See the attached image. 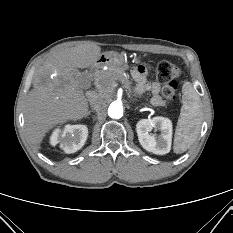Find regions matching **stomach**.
<instances>
[{
    "label": "stomach",
    "instance_id": "1",
    "mask_svg": "<svg viewBox=\"0 0 233 233\" xmlns=\"http://www.w3.org/2000/svg\"><path fill=\"white\" fill-rule=\"evenodd\" d=\"M98 60L101 65H107L110 68H119L121 70L128 68L124 54L116 51L105 52L100 55Z\"/></svg>",
    "mask_w": 233,
    "mask_h": 233
}]
</instances>
